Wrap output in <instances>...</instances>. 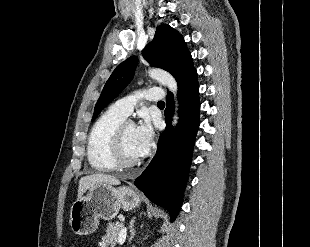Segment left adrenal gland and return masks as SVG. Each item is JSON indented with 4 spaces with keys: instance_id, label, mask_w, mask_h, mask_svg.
<instances>
[{
    "instance_id": "obj_1",
    "label": "left adrenal gland",
    "mask_w": 310,
    "mask_h": 247,
    "mask_svg": "<svg viewBox=\"0 0 310 247\" xmlns=\"http://www.w3.org/2000/svg\"><path fill=\"white\" fill-rule=\"evenodd\" d=\"M129 229H130V238H129V243H131V240L134 238V235H135V229H134V220H132L130 222V226H129Z\"/></svg>"
}]
</instances>
